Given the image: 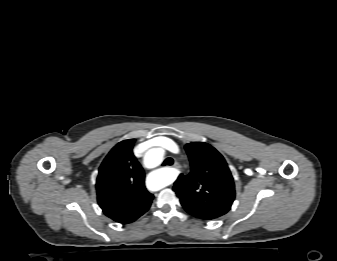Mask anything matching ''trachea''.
Instances as JSON below:
<instances>
[{
    "label": "trachea",
    "mask_w": 337,
    "mask_h": 261,
    "mask_svg": "<svg viewBox=\"0 0 337 261\" xmlns=\"http://www.w3.org/2000/svg\"><path fill=\"white\" fill-rule=\"evenodd\" d=\"M173 163H174V161H173V159L172 158H170V157H168V158H166L165 160H164V162H163V166H166V165H173Z\"/></svg>",
    "instance_id": "1"
}]
</instances>
